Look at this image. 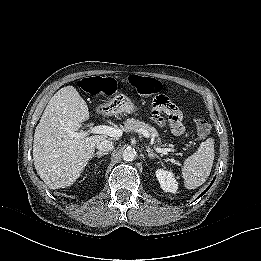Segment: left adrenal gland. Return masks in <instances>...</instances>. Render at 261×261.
<instances>
[{"instance_id":"obj_1","label":"left adrenal gland","mask_w":261,"mask_h":261,"mask_svg":"<svg viewBox=\"0 0 261 261\" xmlns=\"http://www.w3.org/2000/svg\"><path fill=\"white\" fill-rule=\"evenodd\" d=\"M146 151L150 159H154V158L160 159V157L157 154H155L150 147H146Z\"/></svg>"}]
</instances>
